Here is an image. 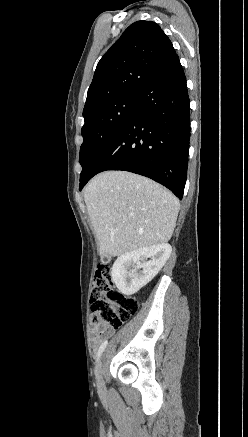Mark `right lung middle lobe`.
<instances>
[{"instance_id": "obj_1", "label": "right lung middle lobe", "mask_w": 248, "mask_h": 437, "mask_svg": "<svg viewBox=\"0 0 248 437\" xmlns=\"http://www.w3.org/2000/svg\"><path fill=\"white\" fill-rule=\"evenodd\" d=\"M138 94L122 95L93 110L84 117L81 134L83 143L79 161L82 166L80 180L89 172L93 160L119 130L130 115Z\"/></svg>"}]
</instances>
